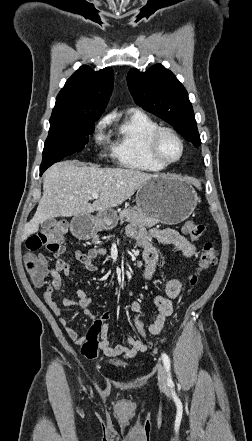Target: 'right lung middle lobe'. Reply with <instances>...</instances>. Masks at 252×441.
Masks as SVG:
<instances>
[{"instance_id": "dd1d6c3e", "label": "right lung middle lobe", "mask_w": 252, "mask_h": 441, "mask_svg": "<svg viewBox=\"0 0 252 441\" xmlns=\"http://www.w3.org/2000/svg\"><path fill=\"white\" fill-rule=\"evenodd\" d=\"M97 120L93 117L52 114L40 167L47 169L66 156L82 151Z\"/></svg>"}]
</instances>
